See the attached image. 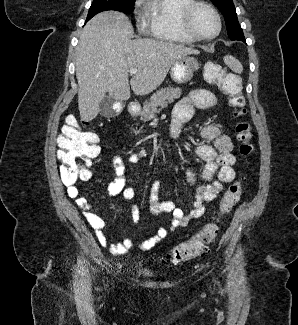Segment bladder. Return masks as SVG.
Returning a JSON list of instances; mask_svg holds the SVG:
<instances>
[{"label":"bladder","mask_w":298,"mask_h":325,"mask_svg":"<svg viewBox=\"0 0 298 325\" xmlns=\"http://www.w3.org/2000/svg\"><path fill=\"white\" fill-rule=\"evenodd\" d=\"M134 273L139 276V277H143V278H152V277H155V273L147 268V267H144V266H141V265H136L134 267Z\"/></svg>","instance_id":"31cf9c89"}]
</instances>
